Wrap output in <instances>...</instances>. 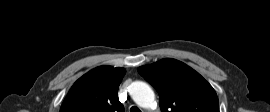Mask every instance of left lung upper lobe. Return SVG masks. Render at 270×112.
Instances as JSON below:
<instances>
[{"instance_id": "5c2ea615", "label": "left lung upper lobe", "mask_w": 270, "mask_h": 112, "mask_svg": "<svg viewBox=\"0 0 270 112\" xmlns=\"http://www.w3.org/2000/svg\"><path fill=\"white\" fill-rule=\"evenodd\" d=\"M138 72L158 91L162 112H219L212 86L178 60L162 59Z\"/></svg>"}]
</instances>
